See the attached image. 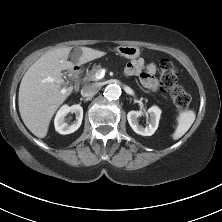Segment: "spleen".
<instances>
[{"mask_svg":"<svg viewBox=\"0 0 222 222\" xmlns=\"http://www.w3.org/2000/svg\"><path fill=\"white\" fill-rule=\"evenodd\" d=\"M196 118L195 112L193 110L182 111L177 117V127L173 133V140H178L181 138L192 126Z\"/></svg>","mask_w":222,"mask_h":222,"instance_id":"obj_1","label":"spleen"}]
</instances>
